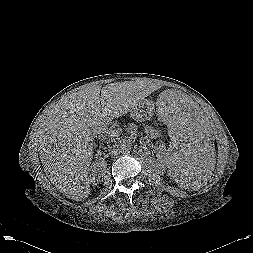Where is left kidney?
I'll return each instance as SVG.
<instances>
[{"label": "left kidney", "mask_w": 253, "mask_h": 253, "mask_svg": "<svg viewBox=\"0 0 253 253\" xmlns=\"http://www.w3.org/2000/svg\"><path fill=\"white\" fill-rule=\"evenodd\" d=\"M145 132L149 133L152 137H158L160 135L159 132L157 130L153 129L152 127H146ZM159 148H160V150L163 151L164 150L163 144H160ZM188 182L189 181H186L185 183H188Z\"/></svg>", "instance_id": "left-kidney-1"}]
</instances>
